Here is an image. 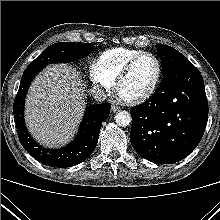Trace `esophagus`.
Instances as JSON below:
<instances>
[{
  "instance_id": "34e87169",
  "label": "esophagus",
  "mask_w": 220,
  "mask_h": 220,
  "mask_svg": "<svg viewBox=\"0 0 220 220\" xmlns=\"http://www.w3.org/2000/svg\"><path fill=\"white\" fill-rule=\"evenodd\" d=\"M119 109L120 108L118 106L114 105V104L111 106V111L114 112V113L119 111Z\"/></svg>"
}]
</instances>
